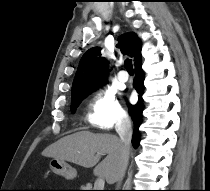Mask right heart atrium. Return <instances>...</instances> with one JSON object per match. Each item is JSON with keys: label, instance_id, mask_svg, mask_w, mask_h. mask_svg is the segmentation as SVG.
<instances>
[{"label": "right heart atrium", "instance_id": "obj_1", "mask_svg": "<svg viewBox=\"0 0 210 191\" xmlns=\"http://www.w3.org/2000/svg\"><path fill=\"white\" fill-rule=\"evenodd\" d=\"M125 118L126 113L112 90L98 92L89 103L87 119L96 128L110 130Z\"/></svg>", "mask_w": 210, "mask_h": 191}]
</instances>
